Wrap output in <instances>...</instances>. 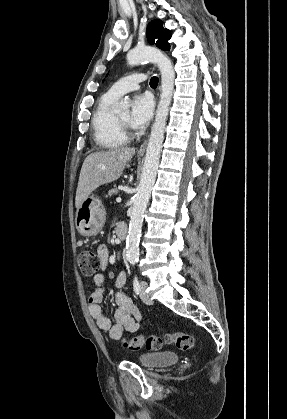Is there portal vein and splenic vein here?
<instances>
[{
    "label": "portal vein and splenic vein",
    "instance_id": "portal-vein-and-splenic-vein-1",
    "mask_svg": "<svg viewBox=\"0 0 287 419\" xmlns=\"http://www.w3.org/2000/svg\"><path fill=\"white\" fill-rule=\"evenodd\" d=\"M116 201H117L118 203H120V202H121V198H120V197L116 198Z\"/></svg>",
    "mask_w": 287,
    "mask_h": 419
}]
</instances>
